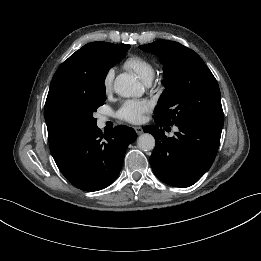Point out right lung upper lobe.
I'll list each match as a JSON object with an SVG mask.
<instances>
[{
	"mask_svg": "<svg viewBox=\"0 0 261 261\" xmlns=\"http://www.w3.org/2000/svg\"><path fill=\"white\" fill-rule=\"evenodd\" d=\"M117 46L106 42L86 44L65 60L54 74L44 109L53 157H57L67 149L57 150L52 142L51 123L55 108L66 100L91 93L96 85L94 74L98 61L104 56L111 55Z\"/></svg>",
	"mask_w": 261,
	"mask_h": 261,
	"instance_id": "right-lung-upper-lobe-1",
	"label": "right lung upper lobe"
}]
</instances>
